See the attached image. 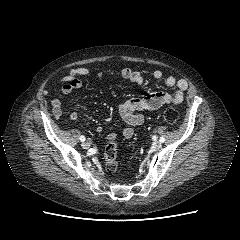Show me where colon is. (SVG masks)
Returning a JSON list of instances; mask_svg holds the SVG:
<instances>
[{
    "label": "colon",
    "instance_id": "obj_1",
    "mask_svg": "<svg viewBox=\"0 0 240 240\" xmlns=\"http://www.w3.org/2000/svg\"><path fill=\"white\" fill-rule=\"evenodd\" d=\"M163 119L166 123H175L178 119V111L173 107H167L163 112ZM105 165L108 172H115L118 169L117 144L115 140H109L104 150Z\"/></svg>",
    "mask_w": 240,
    "mask_h": 240
}]
</instances>
